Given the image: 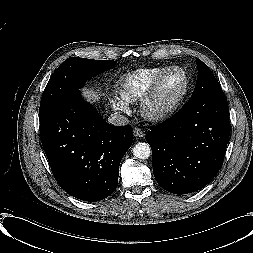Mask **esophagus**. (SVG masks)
I'll return each instance as SVG.
<instances>
[{
    "label": "esophagus",
    "mask_w": 253,
    "mask_h": 253,
    "mask_svg": "<svg viewBox=\"0 0 253 253\" xmlns=\"http://www.w3.org/2000/svg\"><path fill=\"white\" fill-rule=\"evenodd\" d=\"M133 135L136 137V138H143L145 136V132L143 129H140V128H134L133 129Z\"/></svg>",
    "instance_id": "34e87169"
}]
</instances>
